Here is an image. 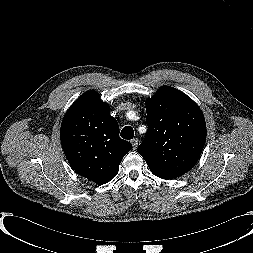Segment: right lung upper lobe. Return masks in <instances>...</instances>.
Returning a JSON list of instances; mask_svg holds the SVG:
<instances>
[{"label": "right lung upper lobe", "instance_id": "cb5924a9", "mask_svg": "<svg viewBox=\"0 0 253 253\" xmlns=\"http://www.w3.org/2000/svg\"><path fill=\"white\" fill-rule=\"evenodd\" d=\"M64 153L79 175L102 185L118 173L123 156L132 145L119 137L118 123L109 104L90 90L69 108L61 124Z\"/></svg>", "mask_w": 253, "mask_h": 253}]
</instances>
